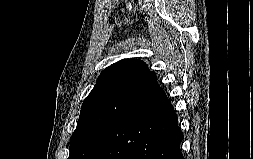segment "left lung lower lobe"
<instances>
[{
    "label": "left lung lower lobe",
    "mask_w": 253,
    "mask_h": 159,
    "mask_svg": "<svg viewBox=\"0 0 253 159\" xmlns=\"http://www.w3.org/2000/svg\"><path fill=\"white\" fill-rule=\"evenodd\" d=\"M182 140L172 104L156 80L118 114L91 159H184Z\"/></svg>",
    "instance_id": "1"
}]
</instances>
